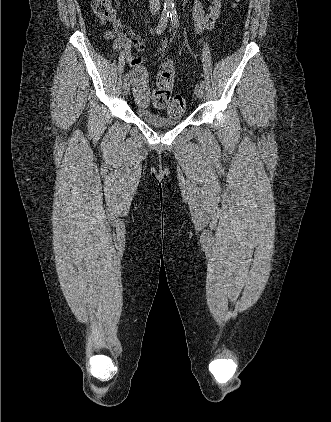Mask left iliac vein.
Segmentation results:
<instances>
[{
  "instance_id": "left-iliac-vein-1",
  "label": "left iliac vein",
  "mask_w": 331,
  "mask_h": 422,
  "mask_svg": "<svg viewBox=\"0 0 331 422\" xmlns=\"http://www.w3.org/2000/svg\"><path fill=\"white\" fill-rule=\"evenodd\" d=\"M195 94L199 99H202L204 96V89L200 85H196Z\"/></svg>"
}]
</instances>
